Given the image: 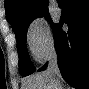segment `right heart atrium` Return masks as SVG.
Here are the masks:
<instances>
[{"label":"right heart atrium","mask_w":89,"mask_h":89,"mask_svg":"<svg viewBox=\"0 0 89 89\" xmlns=\"http://www.w3.org/2000/svg\"><path fill=\"white\" fill-rule=\"evenodd\" d=\"M30 52L38 61H45L54 51V37L44 17L35 18L27 30Z\"/></svg>","instance_id":"obj_1"}]
</instances>
